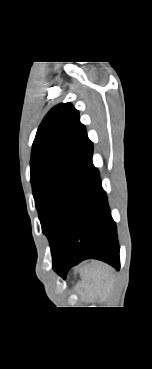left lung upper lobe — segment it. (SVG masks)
I'll return each instance as SVG.
<instances>
[{
  "label": "left lung upper lobe",
  "instance_id": "1",
  "mask_svg": "<svg viewBox=\"0 0 152 369\" xmlns=\"http://www.w3.org/2000/svg\"><path fill=\"white\" fill-rule=\"evenodd\" d=\"M93 151L71 103L52 108L33 142L30 169L35 205L52 259L60 250L73 204Z\"/></svg>",
  "mask_w": 152,
  "mask_h": 369
}]
</instances>
